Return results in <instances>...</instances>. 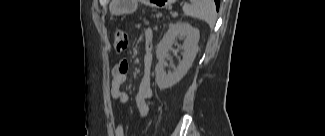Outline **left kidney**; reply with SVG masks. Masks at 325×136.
Returning a JSON list of instances; mask_svg holds the SVG:
<instances>
[{"label": "left kidney", "instance_id": "obj_1", "mask_svg": "<svg viewBox=\"0 0 325 136\" xmlns=\"http://www.w3.org/2000/svg\"><path fill=\"white\" fill-rule=\"evenodd\" d=\"M177 37L184 39L181 46L183 59L173 72L166 73L165 58ZM199 38V30L188 23L178 22L170 25L156 49L158 63L155 67V81L161 90L172 87L186 75L197 55Z\"/></svg>", "mask_w": 325, "mask_h": 136}]
</instances>
